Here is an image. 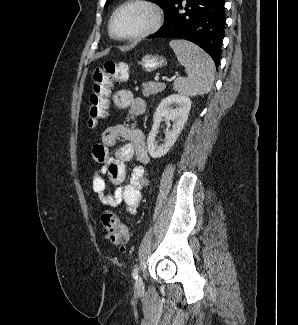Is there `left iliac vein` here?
<instances>
[{
    "mask_svg": "<svg viewBox=\"0 0 298 325\" xmlns=\"http://www.w3.org/2000/svg\"><path fill=\"white\" fill-rule=\"evenodd\" d=\"M135 289L137 291H142L144 289V283L140 276L135 281Z\"/></svg>",
    "mask_w": 298,
    "mask_h": 325,
    "instance_id": "obj_1",
    "label": "left iliac vein"
}]
</instances>
